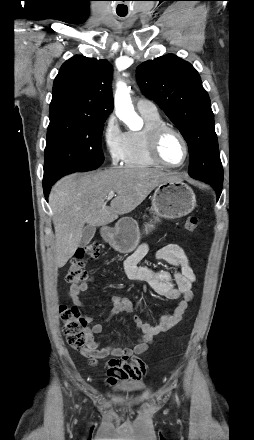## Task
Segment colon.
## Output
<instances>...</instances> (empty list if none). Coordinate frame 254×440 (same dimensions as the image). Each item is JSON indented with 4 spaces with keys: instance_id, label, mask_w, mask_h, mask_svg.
<instances>
[{
    "instance_id": "colon-1",
    "label": "colon",
    "mask_w": 254,
    "mask_h": 440,
    "mask_svg": "<svg viewBox=\"0 0 254 440\" xmlns=\"http://www.w3.org/2000/svg\"><path fill=\"white\" fill-rule=\"evenodd\" d=\"M199 220L196 216L190 215L186 219L185 227L188 231H195ZM100 255V245L97 242L88 243L80 247L72 261L66 281L70 284H81L89 280L90 276L84 265L86 261L98 258ZM63 321V332L67 343L73 349H84L87 343V324L88 319L81 315L75 306L63 305L60 308Z\"/></svg>"
}]
</instances>
